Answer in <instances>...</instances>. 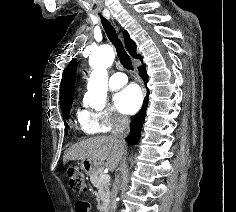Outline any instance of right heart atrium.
<instances>
[{
  "label": "right heart atrium",
  "instance_id": "right-heart-atrium-1",
  "mask_svg": "<svg viewBox=\"0 0 236 212\" xmlns=\"http://www.w3.org/2000/svg\"><path fill=\"white\" fill-rule=\"evenodd\" d=\"M78 119L85 134L109 132L126 122L123 116L109 106L101 111L83 110Z\"/></svg>",
  "mask_w": 236,
  "mask_h": 212
}]
</instances>
